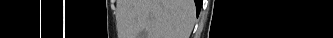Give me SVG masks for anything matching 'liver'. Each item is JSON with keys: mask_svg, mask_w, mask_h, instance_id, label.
<instances>
[{"mask_svg": "<svg viewBox=\"0 0 333 38\" xmlns=\"http://www.w3.org/2000/svg\"><path fill=\"white\" fill-rule=\"evenodd\" d=\"M193 19V0H137V34L147 38H189Z\"/></svg>", "mask_w": 333, "mask_h": 38, "instance_id": "6515ba94", "label": "liver"}]
</instances>
